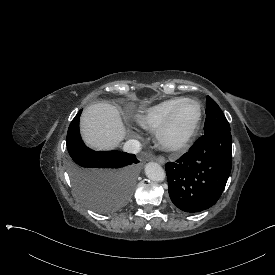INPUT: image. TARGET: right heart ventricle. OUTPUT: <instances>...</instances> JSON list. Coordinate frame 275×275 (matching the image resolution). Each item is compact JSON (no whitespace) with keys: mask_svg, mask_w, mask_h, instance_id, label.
I'll use <instances>...</instances> for the list:
<instances>
[{"mask_svg":"<svg viewBox=\"0 0 275 275\" xmlns=\"http://www.w3.org/2000/svg\"><path fill=\"white\" fill-rule=\"evenodd\" d=\"M184 98H171L157 104L138 109L132 113L133 121L148 131L158 130L164 123L172 108Z\"/></svg>","mask_w":275,"mask_h":275,"instance_id":"obj_1","label":"right heart ventricle"}]
</instances>
